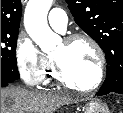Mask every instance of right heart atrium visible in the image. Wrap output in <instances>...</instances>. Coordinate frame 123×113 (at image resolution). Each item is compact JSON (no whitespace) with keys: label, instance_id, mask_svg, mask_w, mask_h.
<instances>
[{"label":"right heart atrium","instance_id":"obj_1","mask_svg":"<svg viewBox=\"0 0 123 113\" xmlns=\"http://www.w3.org/2000/svg\"><path fill=\"white\" fill-rule=\"evenodd\" d=\"M14 57L18 74L27 86L36 87L43 82L48 60L25 32L17 35Z\"/></svg>","mask_w":123,"mask_h":113}]
</instances>
